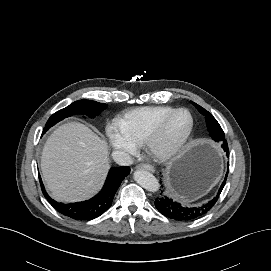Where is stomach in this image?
Returning a JSON list of instances; mask_svg holds the SVG:
<instances>
[{
	"mask_svg": "<svg viewBox=\"0 0 271 271\" xmlns=\"http://www.w3.org/2000/svg\"><path fill=\"white\" fill-rule=\"evenodd\" d=\"M221 170L219 150L206 141H196L170 163L166 179L174 196L195 199L212 188Z\"/></svg>",
	"mask_w": 271,
	"mask_h": 271,
	"instance_id": "1",
	"label": "stomach"
}]
</instances>
